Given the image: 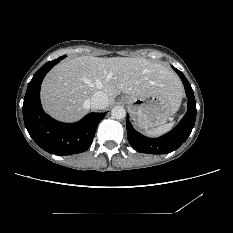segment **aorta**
Masks as SVG:
<instances>
[{
	"label": "aorta",
	"instance_id": "aorta-1",
	"mask_svg": "<svg viewBox=\"0 0 233 233\" xmlns=\"http://www.w3.org/2000/svg\"><path fill=\"white\" fill-rule=\"evenodd\" d=\"M111 115L115 119H124L126 117V111L122 106H115L111 110Z\"/></svg>",
	"mask_w": 233,
	"mask_h": 233
}]
</instances>
